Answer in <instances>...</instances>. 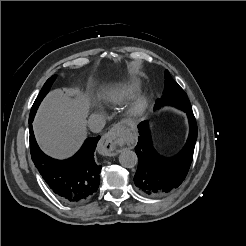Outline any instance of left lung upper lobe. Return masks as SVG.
I'll return each instance as SVG.
<instances>
[{"instance_id": "1", "label": "left lung upper lobe", "mask_w": 246, "mask_h": 246, "mask_svg": "<svg viewBox=\"0 0 246 246\" xmlns=\"http://www.w3.org/2000/svg\"><path fill=\"white\" fill-rule=\"evenodd\" d=\"M158 107L163 105H172L179 109H185L191 106L189 99L183 89L172 79L168 70L165 71V88L163 96L158 99Z\"/></svg>"}]
</instances>
